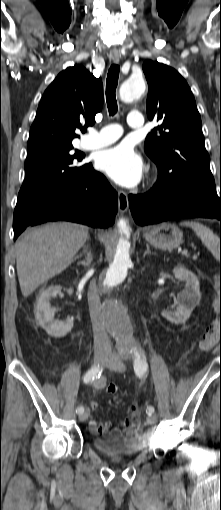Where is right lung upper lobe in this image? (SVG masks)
Instances as JSON below:
<instances>
[{"label": "right lung upper lobe", "instance_id": "1", "mask_svg": "<svg viewBox=\"0 0 221 510\" xmlns=\"http://www.w3.org/2000/svg\"><path fill=\"white\" fill-rule=\"evenodd\" d=\"M103 105V85L81 65L62 71L40 101L27 144L28 153L46 148H67L95 123ZM73 147V146H72Z\"/></svg>", "mask_w": 221, "mask_h": 510}]
</instances>
